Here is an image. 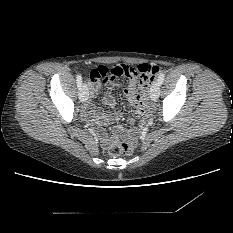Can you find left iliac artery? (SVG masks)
<instances>
[{"label": "left iliac artery", "mask_w": 233, "mask_h": 233, "mask_svg": "<svg viewBox=\"0 0 233 233\" xmlns=\"http://www.w3.org/2000/svg\"><path fill=\"white\" fill-rule=\"evenodd\" d=\"M164 78H165V74H164L163 72L160 73V75H159V77H158V82H159L160 84H162Z\"/></svg>", "instance_id": "44dca946"}]
</instances>
